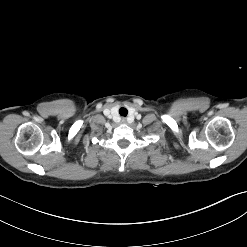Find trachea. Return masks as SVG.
<instances>
[{
	"label": "trachea",
	"mask_w": 247,
	"mask_h": 247,
	"mask_svg": "<svg viewBox=\"0 0 247 247\" xmlns=\"http://www.w3.org/2000/svg\"><path fill=\"white\" fill-rule=\"evenodd\" d=\"M119 114L121 115V116H127V114H128V110L125 108V107H121L120 109H119Z\"/></svg>",
	"instance_id": "3493384b"
}]
</instances>
